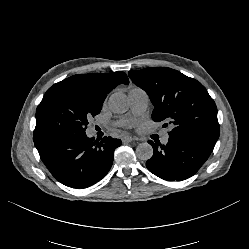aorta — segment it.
I'll use <instances>...</instances> for the list:
<instances>
[{
    "mask_svg": "<svg viewBox=\"0 0 249 249\" xmlns=\"http://www.w3.org/2000/svg\"><path fill=\"white\" fill-rule=\"evenodd\" d=\"M112 112L121 114L128 110L129 103L125 94L113 93L108 101ZM136 155L140 160H149L153 156V148L149 143H140L136 148Z\"/></svg>",
    "mask_w": 249,
    "mask_h": 249,
    "instance_id": "1",
    "label": "aorta"
}]
</instances>
